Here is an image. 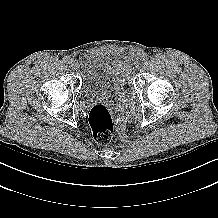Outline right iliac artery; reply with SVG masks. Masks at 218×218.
I'll use <instances>...</instances> for the list:
<instances>
[{
    "label": "right iliac artery",
    "instance_id": "right-iliac-artery-1",
    "mask_svg": "<svg viewBox=\"0 0 218 218\" xmlns=\"http://www.w3.org/2000/svg\"><path fill=\"white\" fill-rule=\"evenodd\" d=\"M70 60H71L70 56H65V57L63 58V62L66 63V64L69 63Z\"/></svg>",
    "mask_w": 218,
    "mask_h": 218
}]
</instances>
